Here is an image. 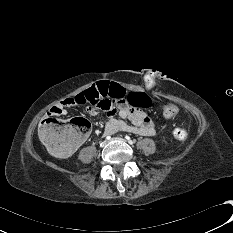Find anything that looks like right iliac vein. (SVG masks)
<instances>
[{"label":"right iliac vein","instance_id":"1","mask_svg":"<svg viewBox=\"0 0 233 233\" xmlns=\"http://www.w3.org/2000/svg\"><path fill=\"white\" fill-rule=\"evenodd\" d=\"M106 145H107V141H103V142H101V144H100L101 147H105Z\"/></svg>","mask_w":233,"mask_h":233}]
</instances>
